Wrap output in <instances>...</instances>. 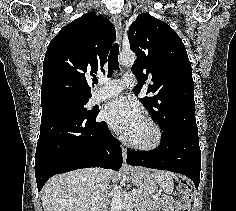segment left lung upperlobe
Wrapping results in <instances>:
<instances>
[{"instance_id":"1","label":"left lung upper lobe","mask_w":236,"mask_h":211,"mask_svg":"<svg viewBox=\"0 0 236 211\" xmlns=\"http://www.w3.org/2000/svg\"><path fill=\"white\" fill-rule=\"evenodd\" d=\"M128 37L137 55L132 72L139 78L138 94L151 79L141 100L163 133H198L195 120L192 68L185 46L172 28L149 14H140L131 24Z\"/></svg>"}]
</instances>
